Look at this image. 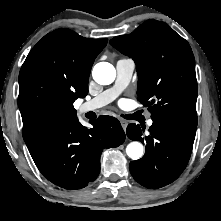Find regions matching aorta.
<instances>
[{
  "label": "aorta",
  "instance_id": "762f6f07",
  "mask_svg": "<svg viewBox=\"0 0 221 221\" xmlns=\"http://www.w3.org/2000/svg\"><path fill=\"white\" fill-rule=\"evenodd\" d=\"M92 76L98 84L108 85L115 80L116 71L112 64L100 62L94 66ZM126 153L131 159L137 160L143 156V145L137 141L131 142L126 147Z\"/></svg>",
  "mask_w": 221,
  "mask_h": 221
}]
</instances>
